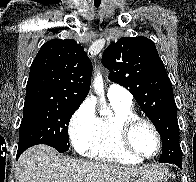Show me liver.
I'll return each instance as SVG.
<instances>
[{
    "mask_svg": "<svg viewBox=\"0 0 196 182\" xmlns=\"http://www.w3.org/2000/svg\"><path fill=\"white\" fill-rule=\"evenodd\" d=\"M141 170L103 162L76 160L47 145L27 149L17 163L18 182H125Z\"/></svg>",
    "mask_w": 196,
    "mask_h": 182,
    "instance_id": "6515ba94",
    "label": "liver"
}]
</instances>
